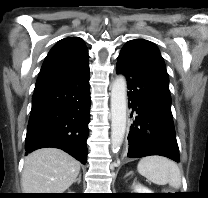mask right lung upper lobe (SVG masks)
<instances>
[{
	"instance_id": "1",
	"label": "right lung upper lobe",
	"mask_w": 208,
	"mask_h": 198,
	"mask_svg": "<svg viewBox=\"0 0 208 198\" xmlns=\"http://www.w3.org/2000/svg\"><path fill=\"white\" fill-rule=\"evenodd\" d=\"M88 63V51L78 37L60 40L47 55L35 89L58 83L79 73Z\"/></svg>"
}]
</instances>
